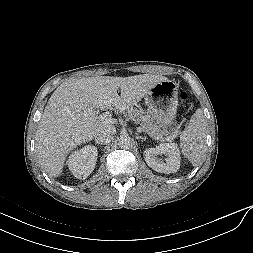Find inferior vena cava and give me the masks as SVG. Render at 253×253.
Returning a JSON list of instances; mask_svg holds the SVG:
<instances>
[{
    "mask_svg": "<svg viewBox=\"0 0 253 253\" xmlns=\"http://www.w3.org/2000/svg\"><path fill=\"white\" fill-rule=\"evenodd\" d=\"M115 134L116 128L113 125H105L97 131L95 135V141L98 144L110 143L113 140Z\"/></svg>",
    "mask_w": 253,
    "mask_h": 253,
    "instance_id": "obj_1",
    "label": "inferior vena cava"
}]
</instances>
